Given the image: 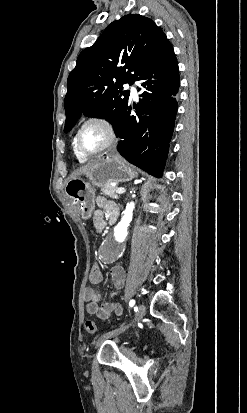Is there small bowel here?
I'll list each match as a JSON object with an SVG mask.
<instances>
[{
  "mask_svg": "<svg viewBox=\"0 0 247 413\" xmlns=\"http://www.w3.org/2000/svg\"><path fill=\"white\" fill-rule=\"evenodd\" d=\"M96 203L98 209L93 214V225L96 230L100 231L106 226L107 222H116L120 212L118 205L104 195H99ZM110 275L114 288L111 296L115 298L125 283V272L122 264H116L111 269ZM101 298V293L97 289H85L84 299L87 302L86 310L89 314L97 316L102 321H107L112 313L117 316L122 315L123 309L116 301L111 300L99 305Z\"/></svg>",
  "mask_w": 247,
  "mask_h": 413,
  "instance_id": "obj_1",
  "label": "small bowel"
}]
</instances>
